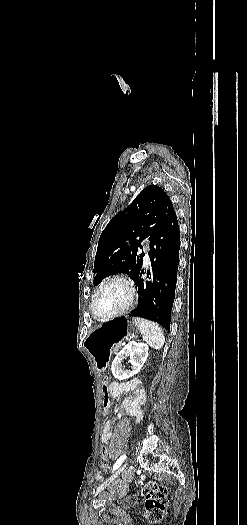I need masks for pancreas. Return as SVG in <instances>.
Segmentation results:
<instances>
[{"instance_id":"pancreas-1","label":"pancreas","mask_w":247,"mask_h":525,"mask_svg":"<svg viewBox=\"0 0 247 525\" xmlns=\"http://www.w3.org/2000/svg\"><path fill=\"white\" fill-rule=\"evenodd\" d=\"M110 351L112 352V355H116V351H119V348H116L115 346H112L110 348Z\"/></svg>"}]
</instances>
